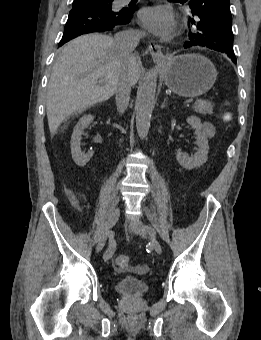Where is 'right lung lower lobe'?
Here are the masks:
<instances>
[{
	"label": "right lung lower lobe",
	"instance_id": "98d812e1",
	"mask_svg": "<svg viewBox=\"0 0 261 340\" xmlns=\"http://www.w3.org/2000/svg\"><path fill=\"white\" fill-rule=\"evenodd\" d=\"M72 6L59 46L81 34L109 31L127 24L135 11L134 8L116 10L107 3L93 0L74 1Z\"/></svg>",
	"mask_w": 261,
	"mask_h": 340
}]
</instances>
